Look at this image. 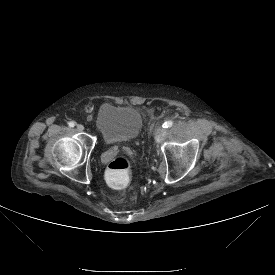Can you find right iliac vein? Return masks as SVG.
Wrapping results in <instances>:
<instances>
[{
  "instance_id": "1",
  "label": "right iliac vein",
  "mask_w": 275,
  "mask_h": 275,
  "mask_svg": "<svg viewBox=\"0 0 275 275\" xmlns=\"http://www.w3.org/2000/svg\"><path fill=\"white\" fill-rule=\"evenodd\" d=\"M77 129L79 130V131H83L84 130V126L82 125V124H77Z\"/></svg>"
}]
</instances>
